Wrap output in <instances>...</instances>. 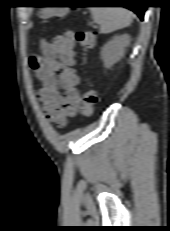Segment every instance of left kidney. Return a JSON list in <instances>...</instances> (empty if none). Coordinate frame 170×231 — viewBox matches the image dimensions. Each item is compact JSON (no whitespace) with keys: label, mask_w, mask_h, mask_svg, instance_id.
<instances>
[{"label":"left kidney","mask_w":170,"mask_h":231,"mask_svg":"<svg viewBox=\"0 0 170 231\" xmlns=\"http://www.w3.org/2000/svg\"><path fill=\"white\" fill-rule=\"evenodd\" d=\"M129 43L130 36L127 34L116 36L108 41L101 51V57L105 67L110 68L119 61L123 57L125 48Z\"/></svg>","instance_id":"obj_1"}]
</instances>
